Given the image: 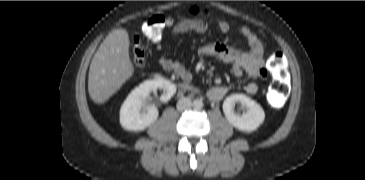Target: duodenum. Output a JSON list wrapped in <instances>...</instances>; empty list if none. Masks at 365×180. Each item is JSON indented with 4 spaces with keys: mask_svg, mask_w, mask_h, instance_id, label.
Here are the masks:
<instances>
[{
    "mask_svg": "<svg viewBox=\"0 0 365 180\" xmlns=\"http://www.w3.org/2000/svg\"><path fill=\"white\" fill-rule=\"evenodd\" d=\"M180 88H181L182 90H188V87H187V86H185V85H180Z\"/></svg>",
    "mask_w": 365,
    "mask_h": 180,
    "instance_id": "1",
    "label": "duodenum"
}]
</instances>
